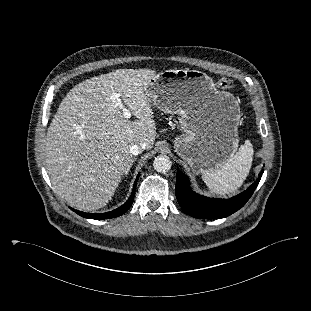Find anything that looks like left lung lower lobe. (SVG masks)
<instances>
[{"label": "left lung lower lobe", "mask_w": 311, "mask_h": 311, "mask_svg": "<svg viewBox=\"0 0 311 311\" xmlns=\"http://www.w3.org/2000/svg\"><path fill=\"white\" fill-rule=\"evenodd\" d=\"M263 170L258 179L247 190L230 199L208 198L193 192L188 177L177 172L176 197L181 208L189 215L202 219H218L227 217L242 208L252 196L260 182Z\"/></svg>", "instance_id": "0a47b994"}]
</instances>
